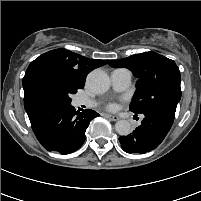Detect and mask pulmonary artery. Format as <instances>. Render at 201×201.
Returning a JSON list of instances; mask_svg holds the SVG:
<instances>
[{
	"label": "pulmonary artery",
	"instance_id": "obj_1",
	"mask_svg": "<svg viewBox=\"0 0 201 201\" xmlns=\"http://www.w3.org/2000/svg\"><path fill=\"white\" fill-rule=\"evenodd\" d=\"M111 83L112 87L116 91H123L129 87L132 80V73L130 70L125 68H118L111 72ZM77 106H85L87 108H92L97 105L96 101L86 99V98H78L75 102Z\"/></svg>",
	"mask_w": 201,
	"mask_h": 201
}]
</instances>
